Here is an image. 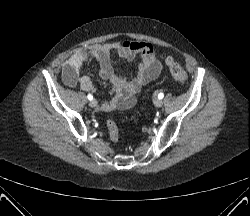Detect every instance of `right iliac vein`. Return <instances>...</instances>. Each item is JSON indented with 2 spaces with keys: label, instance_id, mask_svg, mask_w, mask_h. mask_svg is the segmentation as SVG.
I'll return each instance as SVG.
<instances>
[{
  "label": "right iliac vein",
  "instance_id": "63e3f726",
  "mask_svg": "<svg viewBox=\"0 0 250 216\" xmlns=\"http://www.w3.org/2000/svg\"><path fill=\"white\" fill-rule=\"evenodd\" d=\"M89 105L90 107L92 108H95L97 106V101L95 99H92L90 102H89Z\"/></svg>",
  "mask_w": 250,
  "mask_h": 216
}]
</instances>
